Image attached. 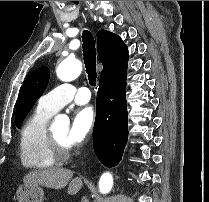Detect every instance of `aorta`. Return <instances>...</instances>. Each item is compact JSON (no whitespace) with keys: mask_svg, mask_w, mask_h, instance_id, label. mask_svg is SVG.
<instances>
[{"mask_svg":"<svg viewBox=\"0 0 209 202\" xmlns=\"http://www.w3.org/2000/svg\"><path fill=\"white\" fill-rule=\"evenodd\" d=\"M82 72V63L77 59H65L56 69V74L61 81H72L76 79ZM55 125H68L69 118L65 115H58L55 118ZM113 187V176L109 172H105L99 179V191L106 194Z\"/></svg>","mask_w":209,"mask_h":202,"instance_id":"obj_1","label":"aorta"}]
</instances>
